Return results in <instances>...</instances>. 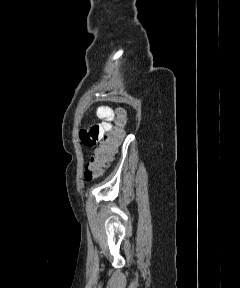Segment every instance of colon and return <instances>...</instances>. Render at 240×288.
Listing matches in <instances>:
<instances>
[{"label":"colon","instance_id":"colon-1","mask_svg":"<svg viewBox=\"0 0 240 288\" xmlns=\"http://www.w3.org/2000/svg\"><path fill=\"white\" fill-rule=\"evenodd\" d=\"M126 117L123 111H119L113 128L105 133L97 143L93 155L87 162L84 170V178L89 181L102 174L104 168L111 162L118 146L124 137V125Z\"/></svg>","mask_w":240,"mask_h":288}]
</instances>
